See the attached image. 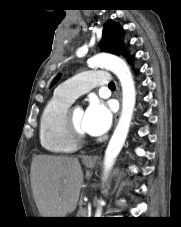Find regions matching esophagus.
Here are the masks:
<instances>
[{
  "instance_id": "34e87169",
  "label": "esophagus",
  "mask_w": 181,
  "mask_h": 227,
  "mask_svg": "<svg viewBox=\"0 0 181 227\" xmlns=\"http://www.w3.org/2000/svg\"><path fill=\"white\" fill-rule=\"evenodd\" d=\"M116 95H117L118 100L121 102V92H120V88L118 86H117V89H116ZM119 116H120V111L118 112V114L115 117V124L117 123ZM84 160L91 162L93 159H92L91 156H86V157H84Z\"/></svg>"
}]
</instances>
